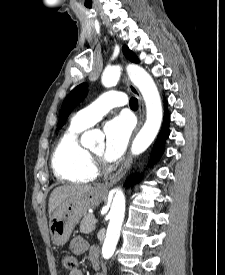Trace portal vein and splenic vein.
Returning a JSON list of instances; mask_svg holds the SVG:
<instances>
[{"instance_id": "18ae733b", "label": "portal vein and splenic vein", "mask_w": 225, "mask_h": 275, "mask_svg": "<svg viewBox=\"0 0 225 275\" xmlns=\"http://www.w3.org/2000/svg\"><path fill=\"white\" fill-rule=\"evenodd\" d=\"M93 222H94V223H97V219H96V218H94V219H93Z\"/></svg>"}]
</instances>
